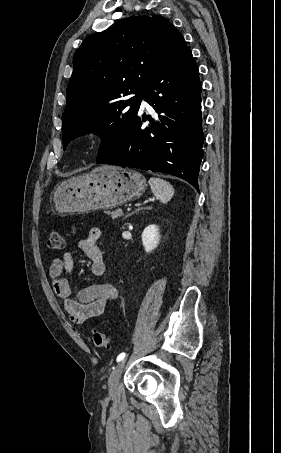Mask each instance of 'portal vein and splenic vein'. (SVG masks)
<instances>
[{
  "label": "portal vein and splenic vein",
  "mask_w": 281,
  "mask_h": 453,
  "mask_svg": "<svg viewBox=\"0 0 281 453\" xmlns=\"http://www.w3.org/2000/svg\"><path fill=\"white\" fill-rule=\"evenodd\" d=\"M135 207L137 208L138 206L136 205ZM127 212H133V207H127Z\"/></svg>",
  "instance_id": "portal-vein-and-splenic-vein-1"
}]
</instances>
